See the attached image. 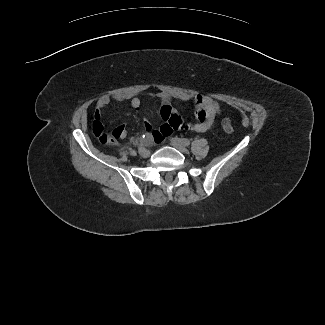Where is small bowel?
Returning <instances> with one entry per match:
<instances>
[{
	"label": "small bowel",
	"mask_w": 325,
	"mask_h": 325,
	"mask_svg": "<svg viewBox=\"0 0 325 325\" xmlns=\"http://www.w3.org/2000/svg\"><path fill=\"white\" fill-rule=\"evenodd\" d=\"M152 98H157L161 102L160 116L165 121V124L158 129H153L151 123L143 120V126L147 133L151 134L155 139L162 140L169 136L173 131H194L206 132L211 130L220 115L221 108L219 103L208 96L193 95L187 92H159L151 95ZM173 100L190 101L192 102L195 112V122L192 124L183 123L182 118L178 115L175 108L171 105ZM129 102L135 110H141L142 100L140 97L131 93H111L103 95L99 98L95 119H102V113L106 110L107 106L112 102ZM115 129H119L121 135L119 138L126 136V128L120 125Z\"/></svg>",
	"instance_id": "c3829d8e"
}]
</instances>
